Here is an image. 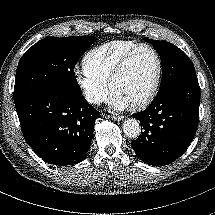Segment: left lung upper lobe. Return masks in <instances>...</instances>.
I'll list each match as a JSON object with an SVG mask.
<instances>
[{
	"instance_id": "obj_1",
	"label": "left lung upper lobe",
	"mask_w": 215,
	"mask_h": 215,
	"mask_svg": "<svg viewBox=\"0 0 215 215\" xmlns=\"http://www.w3.org/2000/svg\"><path fill=\"white\" fill-rule=\"evenodd\" d=\"M144 40L153 45L162 61V80L158 92L185 78L196 76L192 61L181 49L166 41Z\"/></svg>"
}]
</instances>
